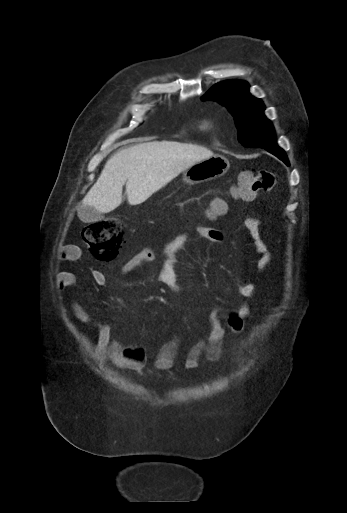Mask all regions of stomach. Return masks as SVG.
Here are the masks:
<instances>
[{"instance_id":"1","label":"stomach","mask_w":347,"mask_h":513,"mask_svg":"<svg viewBox=\"0 0 347 513\" xmlns=\"http://www.w3.org/2000/svg\"><path fill=\"white\" fill-rule=\"evenodd\" d=\"M229 167L230 163L227 158L214 154L185 169L183 180L190 185L204 183L221 177Z\"/></svg>"}]
</instances>
